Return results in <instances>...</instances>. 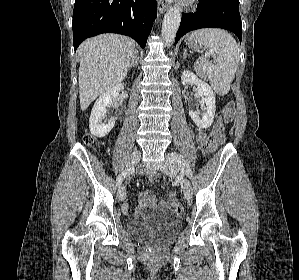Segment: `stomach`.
Instances as JSON below:
<instances>
[{
	"label": "stomach",
	"instance_id": "obj_1",
	"mask_svg": "<svg viewBox=\"0 0 299 280\" xmlns=\"http://www.w3.org/2000/svg\"><path fill=\"white\" fill-rule=\"evenodd\" d=\"M188 45L189 47H191L192 49L195 50H200L203 48V44H201L200 42H198L196 39H188Z\"/></svg>",
	"mask_w": 299,
	"mask_h": 280
}]
</instances>
